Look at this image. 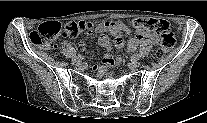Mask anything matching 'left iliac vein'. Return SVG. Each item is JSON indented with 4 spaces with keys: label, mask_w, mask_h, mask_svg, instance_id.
Masks as SVG:
<instances>
[{
    "label": "left iliac vein",
    "mask_w": 207,
    "mask_h": 123,
    "mask_svg": "<svg viewBox=\"0 0 207 123\" xmlns=\"http://www.w3.org/2000/svg\"><path fill=\"white\" fill-rule=\"evenodd\" d=\"M128 66H129L130 69L134 70V69L137 68L138 64H137L136 61H132L128 64Z\"/></svg>",
    "instance_id": "left-iliac-vein-1"
}]
</instances>
